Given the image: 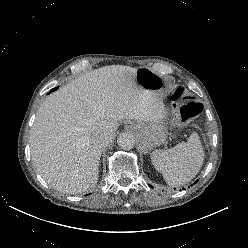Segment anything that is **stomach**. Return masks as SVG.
<instances>
[{"instance_id":"1","label":"stomach","mask_w":248,"mask_h":248,"mask_svg":"<svg viewBox=\"0 0 248 248\" xmlns=\"http://www.w3.org/2000/svg\"><path fill=\"white\" fill-rule=\"evenodd\" d=\"M135 76L138 85L143 89L158 92L163 87V78L147 67L136 69ZM165 116L166 112L163 113L162 119L157 122H129L143 149H152L167 140L168 132L165 126Z\"/></svg>"}]
</instances>
